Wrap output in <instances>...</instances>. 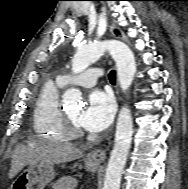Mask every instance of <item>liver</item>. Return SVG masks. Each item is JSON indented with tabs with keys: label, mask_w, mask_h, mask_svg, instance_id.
<instances>
[{
	"label": "liver",
	"mask_w": 188,
	"mask_h": 189,
	"mask_svg": "<svg viewBox=\"0 0 188 189\" xmlns=\"http://www.w3.org/2000/svg\"><path fill=\"white\" fill-rule=\"evenodd\" d=\"M82 156L83 151L70 144L17 145L12 154V164L8 176L10 179L14 178L28 164L54 165L76 160ZM66 182H71L74 185L77 183L73 178H67Z\"/></svg>",
	"instance_id": "liver-1"
}]
</instances>
